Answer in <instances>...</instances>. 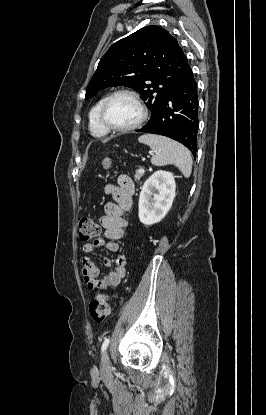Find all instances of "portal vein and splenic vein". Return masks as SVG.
Listing matches in <instances>:
<instances>
[{
  "instance_id": "portal-vein-and-splenic-vein-1",
  "label": "portal vein and splenic vein",
  "mask_w": 266,
  "mask_h": 415,
  "mask_svg": "<svg viewBox=\"0 0 266 415\" xmlns=\"http://www.w3.org/2000/svg\"><path fill=\"white\" fill-rule=\"evenodd\" d=\"M137 172H139V173H144L145 172V170H144V168H140V169H138V171Z\"/></svg>"
}]
</instances>
